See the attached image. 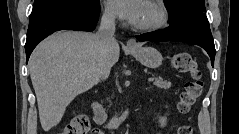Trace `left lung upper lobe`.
<instances>
[{"mask_svg":"<svg viewBox=\"0 0 239 134\" xmlns=\"http://www.w3.org/2000/svg\"><path fill=\"white\" fill-rule=\"evenodd\" d=\"M169 12V22H177L185 13L189 11H205L204 0H164Z\"/></svg>","mask_w":239,"mask_h":134,"instance_id":"obj_1","label":"left lung upper lobe"}]
</instances>
